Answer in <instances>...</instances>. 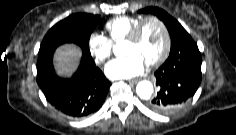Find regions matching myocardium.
I'll use <instances>...</instances> for the list:
<instances>
[{
	"instance_id": "f54148a6",
	"label": "myocardium",
	"mask_w": 236,
	"mask_h": 135,
	"mask_svg": "<svg viewBox=\"0 0 236 135\" xmlns=\"http://www.w3.org/2000/svg\"><path fill=\"white\" fill-rule=\"evenodd\" d=\"M148 21L156 22L160 26V28L162 29L163 35H164V44H163V48H162V51H161L160 55L155 60L147 63V66H149V67H156V66L160 65L165 60V58L167 57L169 49H170V44H171L169 30H168L166 24L164 23V21L161 18H159L155 15H149V16L143 17L133 27V29L131 30L129 36L124 41H125V43L126 42L127 43L137 42L144 24Z\"/></svg>"
}]
</instances>
